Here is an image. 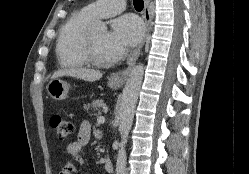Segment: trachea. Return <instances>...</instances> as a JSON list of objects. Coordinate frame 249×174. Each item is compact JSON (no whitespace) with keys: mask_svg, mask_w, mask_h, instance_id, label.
I'll use <instances>...</instances> for the list:
<instances>
[{"mask_svg":"<svg viewBox=\"0 0 249 174\" xmlns=\"http://www.w3.org/2000/svg\"><path fill=\"white\" fill-rule=\"evenodd\" d=\"M133 5L137 11H141L144 7V2L143 0H133Z\"/></svg>","mask_w":249,"mask_h":174,"instance_id":"trachea-1","label":"trachea"}]
</instances>
